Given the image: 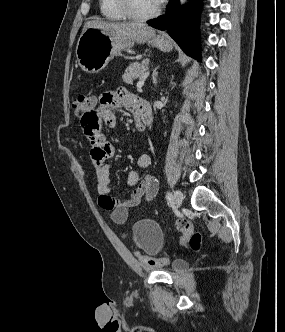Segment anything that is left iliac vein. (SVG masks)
<instances>
[{
  "mask_svg": "<svg viewBox=\"0 0 285 332\" xmlns=\"http://www.w3.org/2000/svg\"><path fill=\"white\" fill-rule=\"evenodd\" d=\"M173 201L176 208H180L183 202V196L180 190H175L173 194Z\"/></svg>",
  "mask_w": 285,
  "mask_h": 332,
  "instance_id": "4c4485c4",
  "label": "left iliac vein"
}]
</instances>
